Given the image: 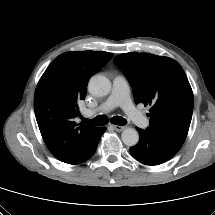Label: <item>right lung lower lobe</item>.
<instances>
[{"label":"right lung lower lobe","instance_id":"obj_1","mask_svg":"<svg viewBox=\"0 0 215 215\" xmlns=\"http://www.w3.org/2000/svg\"><path fill=\"white\" fill-rule=\"evenodd\" d=\"M105 131H106L105 127H101L98 129L97 134H96L90 148L87 150L85 156L82 158V160L78 164L85 162L94 154V152L96 151L98 142L100 140V137Z\"/></svg>","mask_w":215,"mask_h":215}]
</instances>
